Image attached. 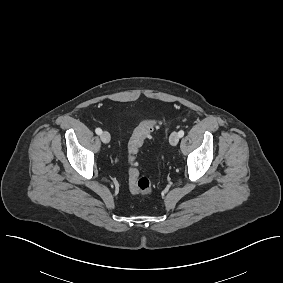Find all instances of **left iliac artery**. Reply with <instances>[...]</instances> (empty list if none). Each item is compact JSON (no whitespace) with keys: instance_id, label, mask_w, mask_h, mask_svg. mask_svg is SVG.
<instances>
[{"instance_id":"obj_1","label":"left iliac artery","mask_w":283,"mask_h":283,"mask_svg":"<svg viewBox=\"0 0 283 283\" xmlns=\"http://www.w3.org/2000/svg\"><path fill=\"white\" fill-rule=\"evenodd\" d=\"M178 135H179V137H183V136H184V131H183V130H180V131L178 132Z\"/></svg>"}]
</instances>
